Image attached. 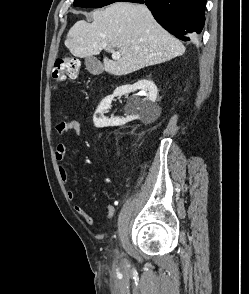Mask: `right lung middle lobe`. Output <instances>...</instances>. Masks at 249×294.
I'll return each instance as SVG.
<instances>
[{
    "instance_id": "1",
    "label": "right lung middle lobe",
    "mask_w": 249,
    "mask_h": 294,
    "mask_svg": "<svg viewBox=\"0 0 249 294\" xmlns=\"http://www.w3.org/2000/svg\"><path fill=\"white\" fill-rule=\"evenodd\" d=\"M119 0H75L74 6L99 8Z\"/></svg>"
}]
</instances>
